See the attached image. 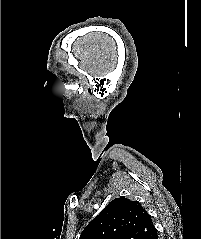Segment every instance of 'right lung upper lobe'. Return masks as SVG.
Segmentation results:
<instances>
[{
	"label": "right lung upper lobe",
	"mask_w": 201,
	"mask_h": 239,
	"mask_svg": "<svg viewBox=\"0 0 201 239\" xmlns=\"http://www.w3.org/2000/svg\"><path fill=\"white\" fill-rule=\"evenodd\" d=\"M151 216L137 201L112 200L82 231L79 239H158Z\"/></svg>",
	"instance_id": "right-lung-upper-lobe-1"
}]
</instances>
